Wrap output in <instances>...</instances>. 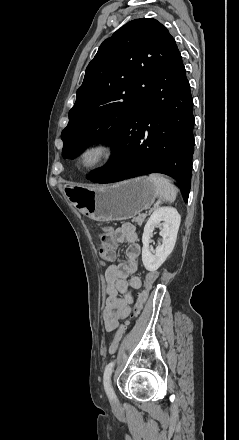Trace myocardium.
<instances>
[{"instance_id": "f54148a6", "label": "myocardium", "mask_w": 239, "mask_h": 440, "mask_svg": "<svg viewBox=\"0 0 239 440\" xmlns=\"http://www.w3.org/2000/svg\"><path fill=\"white\" fill-rule=\"evenodd\" d=\"M96 153L97 159L87 164L88 155ZM117 154V145L109 138H97L87 142L78 154V166L85 172H95L110 164Z\"/></svg>"}]
</instances>
